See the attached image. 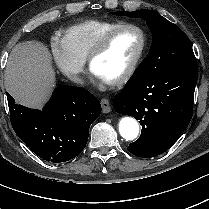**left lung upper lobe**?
<instances>
[{"mask_svg":"<svg viewBox=\"0 0 209 209\" xmlns=\"http://www.w3.org/2000/svg\"><path fill=\"white\" fill-rule=\"evenodd\" d=\"M113 13L131 18H142L151 30L153 40L150 51L135 72L147 76H158L196 61L193 50L181 29L158 13L147 9Z\"/></svg>","mask_w":209,"mask_h":209,"instance_id":"obj_1","label":"left lung upper lobe"}]
</instances>
